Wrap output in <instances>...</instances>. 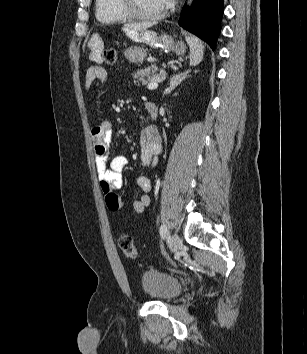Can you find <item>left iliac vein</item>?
I'll use <instances>...</instances> for the list:
<instances>
[{"label": "left iliac vein", "mask_w": 307, "mask_h": 354, "mask_svg": "<svg viewBox=\"0 0 307 354\" xmlns=\"http://www.w3.org/2000/svg\"><path fill=\"white\" fill-rule=\"evenodd\" d=\"M182 245V241L177 233H174L170 238V248L172 252H177Z\"/></svg>", "instance_id": "1"}]
</instances>
